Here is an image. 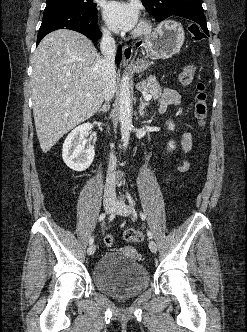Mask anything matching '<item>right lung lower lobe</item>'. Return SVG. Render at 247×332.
<instances>
[{
	"label": "right lung lower lobe",
	"instance_id": "right-lung-lower-lobe-1",
	"mask_svg": "<svg viewBox=\"0 0 247 332\" xmlns=\"http://www.w3.org/2000/svg\"><path fill=\"white\" fill-rule=\"evenodd\" d=\"M97 20V12L88 13L73 8L44 10L42 24L38 32L37 45L48 33L63 28L80 32L90 39H98L101 37V32L98 29ZM118 51L116 56L117 64L122 58L121 48Z\"/></svg>",
	"mask_w": 247,
	"mask_h": 332
}]
</instances>
